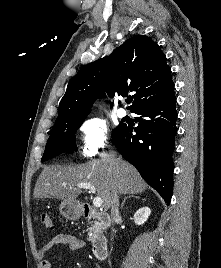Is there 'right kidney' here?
Segmentation results:
<instances>
[{"instance_id": "obj_1", "label": "right kidney", "mask_w": 221, "mask_h": 268, "mask_svg": "<svg viewBox=\"0 0 221 268\" xmlns=\"http://www.w3.org/2000/svg\"><path fill=\"white\" fill-rule=\"evenodd\" d=\"M151 214V210L148 207H142L136 211L134 214V222L136 225H142L144 224L149 215Z\"/></svg>"}]
</instances>
